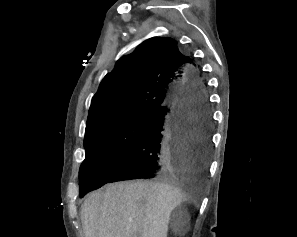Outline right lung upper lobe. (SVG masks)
<instances>
[{"mask_svg": "<svg viewBox=\"0 0 297 237\" xmlns=\"http://www.w3.org/2000/svg\"><path fill=\"white\" fill-rule=\"evenodd\" d=\"M192 59L171 38L153 37L123 56L93 96L86 128L97 122L139 111L154 112L189 78Z\"/></svg>", "mask_w": 297, "mask_h": 237, "instance_id": "obj_1", "label": "right lung upper lobe"}]
</instances>
